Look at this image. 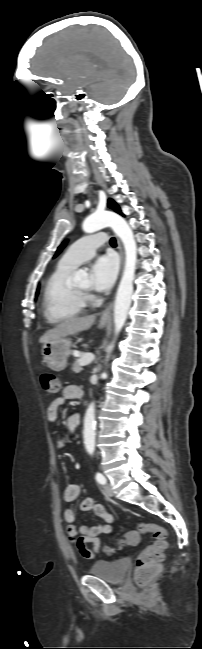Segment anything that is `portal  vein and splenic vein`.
Segmentation results:
<instances>
[{"instance_id":"1","label":"portal vein and splenic vein","mask_w":202,"mask_h":649,"mask_svg":"<svg viewBox=\"0 0 202 649\" xmlns=\"http://www.w3.org/2000/svg\"><path fill=\"white\" fill-rule=\"evenodd\" d=\"M94 356L92 354H85L80 358V365L81 366H87L93 362Z\"/></svg>"}]
</instances>
